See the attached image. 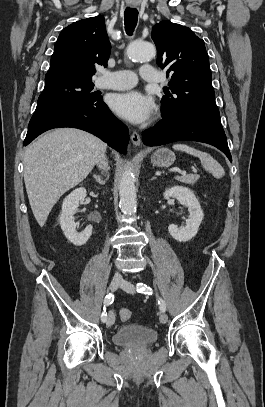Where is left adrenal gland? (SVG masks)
I'll return each mask as SVG.
<instances>
[{
  "label": "left adrenal gland",
  "mask_w": 265,
  "mask_h": 407,
  "mask_svg": "<svg viewBox=\"0 0 265 407\" xmlns=\"http://www.w3.org/2000/svg\"><path fill=\"white\" fill-rule=\"evenodd\" d=\"M154 179H156V177H155V176H153V177L151 178V180H154Z\"/></svg>",
  "instance_id": "1"
}]
</instances>
